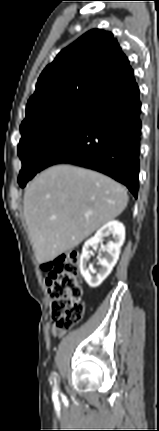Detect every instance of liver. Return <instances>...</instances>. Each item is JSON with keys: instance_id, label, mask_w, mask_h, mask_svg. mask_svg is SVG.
<instances>
[{"instance_id": "1", "label": "liver", "mask_w": 159, "mask_h": 431, "mask_svg": "<svg viewBox=\"0 0 159 431\" xmlns=\"http://www.w3.org/2000/svg\"><path fill=\"white\" fill-rule=\"evenodd\" d=\"M128 203L124 186L98 172L56 165L27 186L24 217L39 263L78 246L119 216Z\"/></svg>"}]
</instances>
